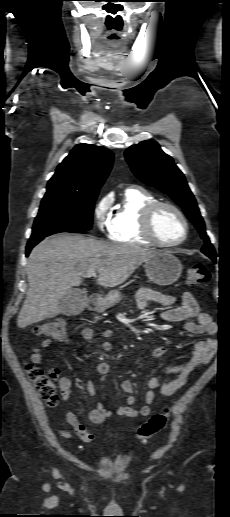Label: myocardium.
Here are the masks:
<instances>
[{"label": "myocardium", "mask_w": 230, "mask_h": 517, "mask_svg": "<svg viewBox=\"0 0 230 517\" xmlns=\"http://www.w3.org/2000/svg\"><path fill=\"white\" fill-rule=\"evenodd\" d=\"M170 209L172 210L182 221L184 226V234L180 240L174 241V242H166L161 240L154 229L155 219L157 216V213L161 209ZM142 232L146 238L151 240L154 244L161 246V247H175L180 244H182L189 235V223L184 215V213L175 205L168 203V202H162V201H156L152 204H150L148 207L145 208L142 214Z\"/></svg>", "instance_id": "myocardium-1"}]
</instances>
